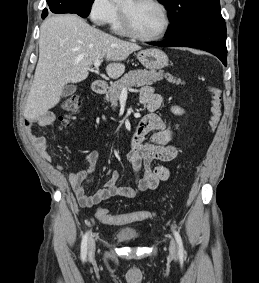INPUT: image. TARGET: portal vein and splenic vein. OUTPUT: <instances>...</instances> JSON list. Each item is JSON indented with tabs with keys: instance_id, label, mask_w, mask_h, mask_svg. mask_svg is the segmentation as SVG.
I'll return each instance as SVG.
<instances>
[{
	"instance_id": "portal-vein-and-splenic-vein-1",
	"label": "portal vein and splenic vein",
	"mask_w": 259,
	"mask_h": 283,
	"mask_svg": "<svg viewBox=\"0 0 259 283\" xmlns=\"http://www.w3.org/2000/svg\"><path fill=\"white\" fill-rule=\"evenodd\" d=\"M100 65H101V60L100 59H97V60L94 61V67L96 69H98ZM122 93L123 94L127 93V90L125 88H122Z\"/></svg>"
}]
</instances>
